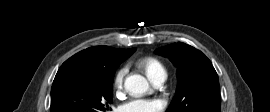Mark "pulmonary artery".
<instances>
[{"label":"pulmonary artery","mask_w":270,"mask_h":112,"mask_svg":"<svg viewBox=\"0 0 270 112\" xmlns=\"http://www.w3.org/2000/svg\"><path fill=\"white\" fill-rule=\"evenodd\" d=\"M166 76H159L155 78L152 82L155 86H160L165 81Z\"/></svg>","instance_id":"e3ab8cb5"}]
</instances>
